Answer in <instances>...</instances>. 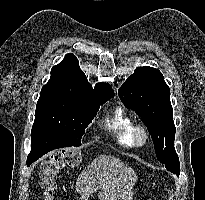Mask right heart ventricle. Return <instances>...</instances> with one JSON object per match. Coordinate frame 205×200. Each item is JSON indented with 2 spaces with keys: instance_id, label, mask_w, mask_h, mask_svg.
I'll return each mask as SVG.
<instances>
[{
  "instance_id": "obj_1",
  "label": "right heart ventricle",
  "mask_w": 205,
  "mask_h": 200,
  "mask_svg": "<svg viewBox=\"0 0 205 200\" xmlns=\"http://www.w3.org/2000/svg\"><path fill=\"white\" fill-rule=\"evenodd\" d=\"M134 125L132 117L121 106H117L104 123L105 128L113 134L116 141L127 148L134 146L131 139Z\"/></svg>"
}]
</instances>
